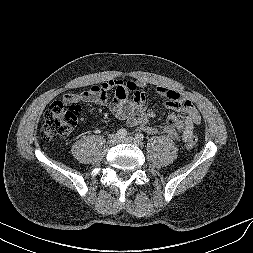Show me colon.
Masks as SVG:
<instances>
[{
	"mask_svg": "<svg viewBox=\"0 0 253 253\" xmlns=\"http://www.w3.org/2000/svg\"><path fill=\"white\" fill-rule=\"evenodd\" d=\"M81 113L77 102L55 101L44 114L41 136L46 141L55 140L69 134L75 127ZM197 144L195 137L187 141V148L193 149Z\"/></svg>",
	"mask_w": 253,
	"mask_h": 253,
	"instance_id": "1",
	"label": "colon"
}]
</instances>
